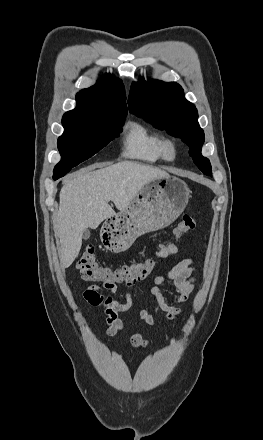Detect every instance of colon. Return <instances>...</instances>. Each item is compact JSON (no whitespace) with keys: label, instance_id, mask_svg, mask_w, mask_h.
<instances>
[{"label":"colon","instance_id":"colon-1","mask_svg":"<svg viewBox=\"0 0 263 440\" xmlns=\"http://www.w3.org/2000/svg\"><path fill=\"white\" fill-rule=\"evenodd\" d=\"M196 228V220L191 215H183L173 230L175 239L182 238ZM156 261L147 258L118 267L102 265L96 258L95 247L88 245L77 262V268L84 280L102 283L107 287L132 286L149 276L155 269Z\"/></svg>","mask_w":263,"mask_h":440}]
</instances>
